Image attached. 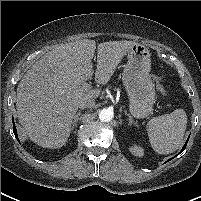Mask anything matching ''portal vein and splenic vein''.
<instances>
[{
	"label": "portal vein and splenic vein",
	"instance_id": "obj_1",
	"mask_svg": "<svg viewBox=\"0 0 201 201\" xmlns=\"http://www.w3.org/2000/svg\"><path fill=\"white\" fill-rule=\"evenodd\" d=\"M82 88H83L84 90H89V89H90V85H89L88 83H84V84L82 85Z\"/></svg>",
	"mask_w": 201,
	"mask_h": 201
}]
</instances>
